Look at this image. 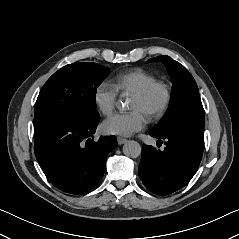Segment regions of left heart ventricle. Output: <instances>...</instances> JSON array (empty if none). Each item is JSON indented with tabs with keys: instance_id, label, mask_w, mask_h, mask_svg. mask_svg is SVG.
<instances>
[{
	"instance_id": "1",
	"label": "left heart ventricle",
	"mask_w": 239,
	"mask_h": 239,
	"mask_svg": "<svg viewBox=\"0 0 239 239\" xmlns=\"http://www.w3.org/2000/svg\"><path fill=\"white\" fill-rule=\"evenodd\" d=\"M159 100V92L155 91L151 97L146 100L145 102L138 104L136 102L130 101V105L132 106H138L140 107L143 111H146L148 108H150L152 105H154L157 101Z\"/></svg>"
}]
</instances>
